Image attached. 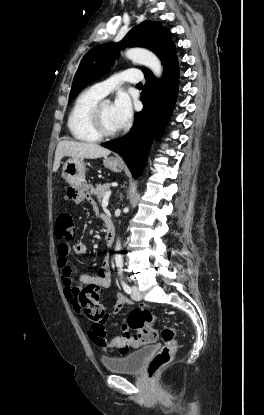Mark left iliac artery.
<instances>
[{
    "label": "left iliac artery",
    "instance_id": "1",
    "mask_svg": "<svg viewBox=\"0 0 264 415\" xmlns=\"http://www.w3.org/2000/svg\"><path fill=\"white\" fill-rule=\"evenodd\" d=\"M121 283H122V286H123L124 291L126 293L130 294L131 293L130 286L124 280H122Z\"/></svg>",
    "mask_w": 264,
    "mask_h": 415
}]
</instances>
